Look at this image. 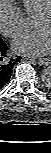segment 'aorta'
<instances>
[{
	"mask_svg": "<svg viewBox=\"0 0 51 153\" xmlns=\"http://www.w3.org/2000/svg\"><path fill=\"white\" fill-rule=\"evenodd\" d=\"M41 80L43 81V83L47 86H49L51 84V69L46 68L43 72H42V76H41Z\"/></svg>",
	"mask_w": 51,
	"mask_h": 153,
	"instance_id": "obj_1",
	"label": "aorta"
}]
</instances>
